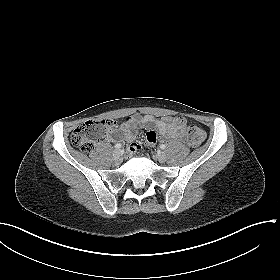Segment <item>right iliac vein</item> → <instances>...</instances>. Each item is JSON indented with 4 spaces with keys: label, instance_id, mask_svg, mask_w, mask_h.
<instances>
[{
    "label": "right iliac vein",
    "instance_id": "obj_1",
    "mask_svg": "<svg viewBox=\"0 0 280 280\" xmlns=\"http://www.w3.org/2000/svg\"><path fill=\"white\" fill-rule=\"evenodd\" d=\"M113 157L116 162H118V163L122 162V153L120 150H115L113 153Z\"/></svg>",
    "mask_w": 280,
    "mask_h": 280
}]
</instances>
